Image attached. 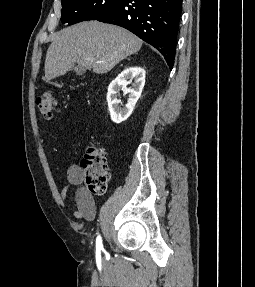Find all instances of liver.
Instances as JSON below:
<instances>
[{
	"label": "liver",
	"mask_w": 255,
	"mask_h": 287,
	"mask_svg": "<svg viewBox=\"0 0 255 287\" xmlns=\"http://www.w3.org/2000/svg\"><path fill=\"white\" fill-rule=\"evenodd\" d=\"M143 42L112 24L81 22L55 34L45 60V80L64 76L75 64L93 68L95 74L110 72L121 60L139 52ZM88 58H92L89 60Z\"/></svg>",
	"instance_id": "liver-1"
}]
</instances>
